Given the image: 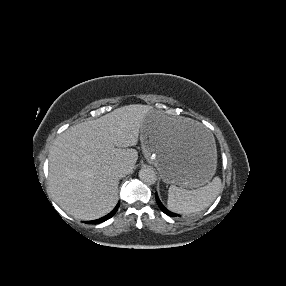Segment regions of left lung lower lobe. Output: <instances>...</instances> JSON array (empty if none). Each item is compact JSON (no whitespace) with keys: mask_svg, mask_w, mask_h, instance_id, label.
I'll return each mask as SVG.
<instances>
[{"mask_svg":"<svg viewBox=\"0 0 286 286\" xmlns=\"http://www.w3.org/2000/svg\"><path fill=\"white\" fill-rule=\"evenodd\" d=\"M155 196H156L157 204H158V206L160 207V209L162 210V212H164V213L167 214L168 216H172V217L178 216L177 214L170 212L169 210H167V209L163 206V204L160 202V200H159V198H158L157 193H155Z\"/></svg>","mask_w":286,"mask_h":286,"instance_id":"left-lung-lower-lobe-1","label":"left lung lower lobe"}]
</instances>
